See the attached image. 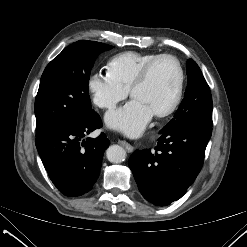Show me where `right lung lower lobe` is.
Returning a JSON list of instances; mask_svg holds the SVG:
<instances>
[{"mask_svg":"<svg viewBox=\"0 0 247 247\" xmlns=\"http://www.w3.org/2000/svg\"><path fill=\"white\" fill-rule=\"evenodd\" d=\"M102 126L95 113L90 119L36 137L40 158L54 185L65 196H80L95 184L109 140L101 133L84 138Z\"/></svg>","mask_w":247,"mask_h":247,"instance_id":"98d812e1","label":"right lung lower lobe"}]
</instances>
